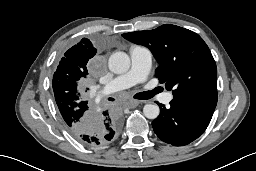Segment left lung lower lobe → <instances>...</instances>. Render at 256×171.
Instances as JSON below:
<instances>
[{"label":"left lung lower lobe","instance_id":"0a47b994","mask_svg":"<svg viewBox=\"0 0 256 171\" xmlns=\"http://www.w3.org/2000/svg\"><path fill=\"white\" fill-rule=\"evenodd\" d=\"M161 107L152 122L156 135L174 146H184L197 139L208 127L213 112L191 103L173 99L170 106Z\"/></svg>","mask_w":256,"mask_h":171}]
</instances>
